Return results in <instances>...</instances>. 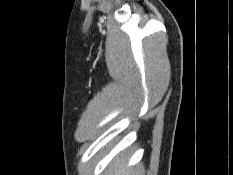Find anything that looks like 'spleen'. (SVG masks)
I'll use <instances>...</instances> for the list:
<instances>
[{
    "label": "spleen",
    "mask_w": 233,
    "mask_h": 175,
    "mask_svg": "<svg viewBox=\"0 0 233 175\" xmlns=\"http://www.w3.org/2000/svg\"><path fill=\"white\" fill-rule=\"evenodd\" d=\"M116 167L117 168H120L121 167V165H120V163L117 161V163H116ZM126 175H130V173L128 172Z\"/></svg>",
    "instance_id": "1"
}]
</instances>
